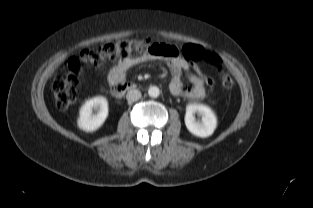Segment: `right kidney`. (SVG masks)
<instances>
[{"label":"right kidney","mask_w":313,"mask_h":208,"mask_svg":"<svg viewBox=\"0 0 313 208\" xmlns=\"http://www.w3.org/2000/svg\"><path fill=\"white\" fill-rule=\"evenodd\" d=\"M108 116V102L104 97H95L87 101L80 109L78 126L86 132L99 129Z\"/></svg>","instance_id":"1"}]
</instances>
